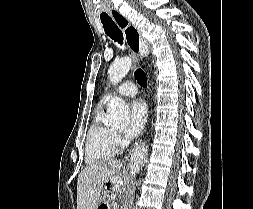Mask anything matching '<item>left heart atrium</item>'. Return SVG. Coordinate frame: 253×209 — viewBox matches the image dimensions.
Wrapping results in <instances>:
<instances>
[{
	"label": "left heart atrium",
	"mask_w": 253,
	"mask_h": 209,
	"mask_svg": "<svg viewBox=\"0 0 253 209\" xmlns=\"http://www.w3.org/2000/svg\"><path fill=\"white\" fill-rule=\"evenodd\" d=\"M148 116L147 105L142 100H136L130 107V121L126 130V136L128 138H134L138 136L146 123Z\"/></svg>",
	"instance_id": "39dd6f15"
}]
</instances>
